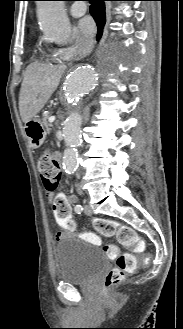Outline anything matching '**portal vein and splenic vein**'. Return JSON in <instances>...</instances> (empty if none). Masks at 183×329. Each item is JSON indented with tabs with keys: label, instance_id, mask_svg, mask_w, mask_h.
Returning a JSON list of instances; mask_svg holds the SVG:
<instances>
[{
	"label": "portal vein and splenic vein",
	"instance_id": "18ae733b",
	"mask_svg": "<svg viewBox=\"0 0 183 329\" xmlns=\"http://www.w3.org/2000/svg\"><path fill=\"white\" fill-rule=\"evenodd\" d=\"M55 121V116L49 117V122H54Z\"/></svg>",
	"mask_w": 183,
	"mask_h": 329
}]
</instances>
